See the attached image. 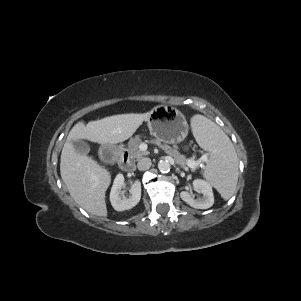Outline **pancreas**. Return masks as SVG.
<instances>
[{
  "mask_svg": "<svg viewBox=\"0 0 301 301\" xmlns=\"http://www.w3.org/2000/svg\"><path fill=\"white\" fill-rule=\"evenodd\" d=\"M150 142L158 145L161 149H163L165 151V153L172 156L174 158L175 162L183 168H186V166L188 165V161L192 160V159H186V157L184 155L180 154L177 146L171 147L167 144H162L160 141L154 140V139H152ZM142 143H143V141H142L141 137H139V136H136L129 141L128 152L132 158H136L137 160H139L140 158H142V156H145L148 154L147 151H141L139 149V146Z\"/></svg>",
  "mask_w": 301,
  "mask_h": 301,
  "instance_id": "1",
  "label": "pancreas"
}]
</instances>
